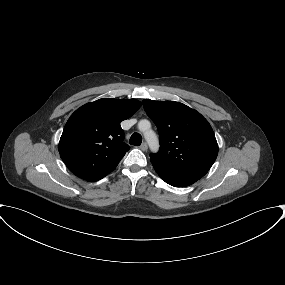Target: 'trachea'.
I'll return each mask as SVG.
<instances>
[{
    "label": "trachea",
    "instance_id": "obj_1",
    "mask_svg": "<svg viewBox=\"0 0 285 285\" xmlns=\"http://www.w3.org/2000/svg\"><path fill=\"white\" fill-rule=\"evenodd\" d=\"M130 145L140 146L142 143V136L139 133H133L129 140Z\"/></svg>",
    "mask_w": 285,
    "mask_h": 285
}]
</instances>
